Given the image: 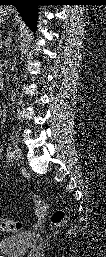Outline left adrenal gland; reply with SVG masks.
Masks as SVG:
<instances>
[{
  "label": "left adrenal gland",
  "instance_id": "1",
  "mask_svg": "<svg viewBox=\"0 0 106 257\" xmlns=\"http://www.w3.org/2000/svg\"><path fill=\"white\" fill-rule=\"evenodd\" d=\"M10 40H11V38L9 37V38L6 40V42H5L6 53H7V51H9V49H10Z\"/></svg>",
  "mask_w": 106,
  "mask_h": 257
}]
</instances>
